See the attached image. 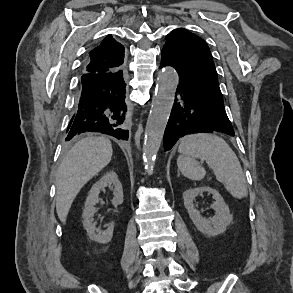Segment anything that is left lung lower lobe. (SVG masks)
<instances>
[{
    "label": "left lung lower lobe",
    "instance_id": "1",
    "mask_svg": "<svg viewBox=\"0 0 293 293\" xmlns=\"http://www.w3.org/2000/svg\"><path fill=\"white\" fill-rule=\"evenodd\" d=\"M167 65L175 67L170 56L162 50L160 68ZM217 131L234 135L223 98L211 95L179 77L175 102L164 133L165 151L187 134Z\"/></svg>",
    "mask_w": 293,
    "mask_h": 293
}]
</instances>
